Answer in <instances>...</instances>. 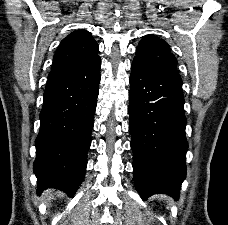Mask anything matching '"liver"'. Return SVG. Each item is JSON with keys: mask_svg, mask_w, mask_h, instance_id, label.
<instances>
[{"mask_svg": "<svg viewBox=\"0 0 228 225\" xmlns=\"http://www.w3.org/2000/svg\"><path fill=\"white\" fill-rule=\"evenodd\" d=\"M56 193H52V191H46V197H45L46 201H50L51 197H53V195H56Z\"/></svg>", "mask_w": 228, "mask_h": 225, "instance_id": "obj_1", "label": "liver"}]
</instances>
